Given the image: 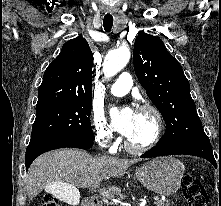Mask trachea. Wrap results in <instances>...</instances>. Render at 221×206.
Masks as SVG:
<instances>
[{"instance_id": "obj_1", "label": "trachea", "mask_w": 221, "mask_h": 206, "mask_svg": "<svg viewBox=\"0 0 221 206\" xmlns=\"http://www.w3.org/2000/svg\"><path fill=\"white\" fill-rule=\"evenodd\" d=\"M103 26L106 32H110L113 26V17L111 15L104 16Z\"/></svg>"}]
</instances>
